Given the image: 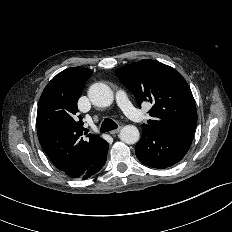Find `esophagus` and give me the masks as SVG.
<instances>
[{
	"label": "esophagus",
	"instance_id": "obj_1",
	"mask_svg": "<svg viewBox=\"0 0 232 232\" xmlns=\"http://www.w3.org/2000/svg\"><path fill=\"white\" fill-rule=\"evenodd\" d=\"M120 130H121V126H119L118 128L110 131V134H112V135L118 134Z\"/></svg>",
	"mask_w": 232,
	"mask_h": 232
}]
</instances>
